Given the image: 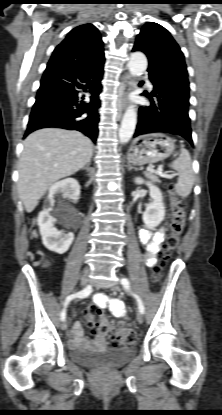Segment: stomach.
<instances>
[{
  "instance_id": "obj_1",
  "label": "stomach",
  "mask_w": 222,
  "mask_h": 415,
  "mask_svg": "<svg viewBox=\"0 0 222 415\" xmlns=\"http://www.w3.org/2000/svg\"><path fill=\"white\" fill-rule=\"evenodd\" d=\"M175 140L164 133H150L135 138L128 150V161L133 165L155 163L170 156Z\"/></svg>"
}]
</instances>
